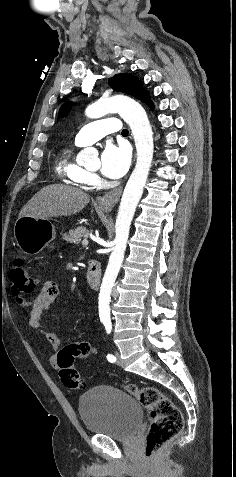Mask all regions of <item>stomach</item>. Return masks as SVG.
<instances>
[{"label":"stomach","instance_id":"0dacf381","mask_svg":"<svg viewBox=\"0 0 236 477\" xmlns=\"http://www.w3.org/2000/svg\"><path fill=\"white\" fill-rule=\"evenodd\" d=\"M109 211V207L102 206ZM14 237L20 249L27 255L40 253L56 237L54 225L47 219L31 216L18 218L14 226Z\"/></svg>","mask_w":236,"mask_h":477}]
</instances>
